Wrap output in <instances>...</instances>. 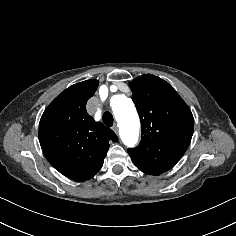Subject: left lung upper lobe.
I'll list each match as a JSON object with an SVG mask.
<instances>
[{"label":"left lung upper lobe","mask_w":236,"mask_h":236,"mask_svg":"<svg viewBox=\"0 0 236 236\" xmlns=\"http://www.w3.org/2000/svg\"><path fill=\"white\" fill-rule=\"evenodd\" d=\"M140 120L142 139L128 153L145 173L171 169L187 150L194 128L191 110L174 88L151 74L130 83Z\"/></svg>","instance_id":"left-lung-upper-lobe-1"}]
</instances>
